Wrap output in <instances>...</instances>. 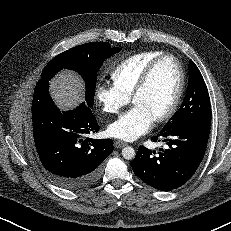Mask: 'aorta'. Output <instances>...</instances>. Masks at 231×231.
Returning a JSON list of instances; mask_svg holds the SVG:
<instances>
[{"instance_id":"1","label":"aorta","mask_w":231,"mask_h":231,"mask_svg":"<svg viewBox=\"0 0 231 231\" xmlns=\"http://www.w3.org/2000/svg\"><path fill=\"white\" fill-rule=\"evenodd\" d=\"M122 156L123 158L127 159V160H131L135 157V150L134 148L127 146L125 148L122 149Z\"/></svg>"}]
</instances>
